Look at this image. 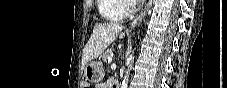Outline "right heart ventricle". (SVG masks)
<instances>
[{"label":"right heart ventricle","mask_w":227,"mask_h":88,"mask_svg":"<svg viewBox=\"0 0 227 88\" xmlns=\"http://www.w3.org/2000/svg\"><path fill=\"white\" fill-rule=\"evenodd\" d=\"M101 17L107 21H121L124 13L120 10L122 0H96Z\"/></svg>","instance_id":"right-heart-ventricle-1"}]
</instances>
